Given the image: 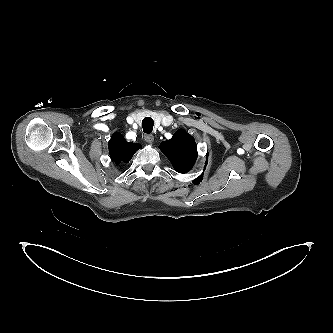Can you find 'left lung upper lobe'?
Masks as SVG:
<instances>
[{"label": "left lung upper lobe", "mask_w": 333, "mask_h": 333, "mask_svg": "<svg viewBox=\"0 0 333 333\" xmlns=\"http://www.w3.org/2000/svg\"><path fill=\"white\" fill-rule=\"evenodd\" d=\"M159 148L179 173L190 171L197 158V146L193 137L182 129L176 131L170 140L163 141Z\"/></svg>", "instance_id": "1"}]
</instances>
